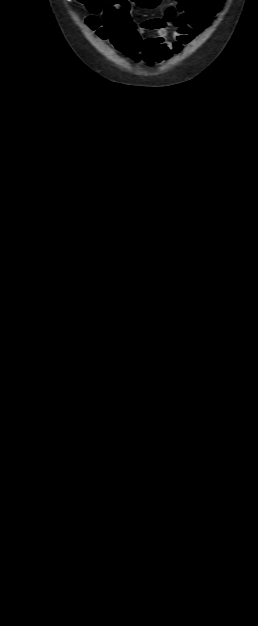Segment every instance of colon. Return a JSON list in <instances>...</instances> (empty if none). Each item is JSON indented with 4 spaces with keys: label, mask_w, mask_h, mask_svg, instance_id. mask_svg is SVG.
Instances as JSON below:
<instances>
[{
    "label": "colon",
    "mask_w": 258,
    "mask_h": 626,
    "mask_svg": "<svg viewBox=\"0 0 258 626\" xmlns=\"http://www.w3.org/2000/svg\"><path fill=\"white\" fill-rule=\"evenodd\" d=\"M79 1L82 4L98 11H101L102 9H104L107 3L106 0H79ZM135 2L142 6L153 7L157 4L158 0H136ZM130 29L131 30L134 29L133 24L130 26Z\"/></svg>",
    "instance_id": "obj_1"
}]
</instances>
